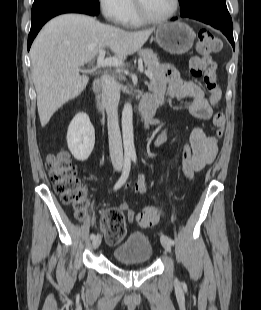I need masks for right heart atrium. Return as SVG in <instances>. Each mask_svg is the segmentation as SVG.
Returning a JSON list of instances; mask_svg holds the SVG:
<instances>
[{"instance_id": "d8ad5b80", "label": "right heart atrium", "mask_w": 261, "mask_h": 310, "mask_svg": "<svg viewBox=\"0 0 261 310\" xmlns=\"http://www.w3.org/2000/svg\"><path fill=\"white\" fill-rule=\"evenodd\" d=\"M103 16L112 23L122 24L130 10V0H98Z\"/></svg>"}]
</instances>
